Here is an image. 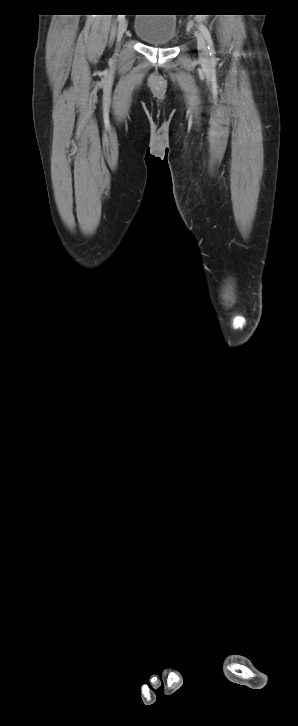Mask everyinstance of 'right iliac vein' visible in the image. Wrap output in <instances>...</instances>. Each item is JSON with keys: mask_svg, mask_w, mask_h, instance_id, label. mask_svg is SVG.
<instances>
[{"mask_svg": "<svg viewBox=\"0 0 298 726\" xmlns=\"http://www.w3.org/2000/svg\"><path fill=\"white\" fill-rule=\"evenodd\" d=\"M127 25H128V23H127L126 19L123 18L122 20H120V22L118 24V29H117V39L118 40H121V38L123 37V35L127 29Z\"/></svg>", "mask_w": 298, "mask_h": 726, "instance_id": "63e3f726", "label": "right iliac vein"}]
</instances>
